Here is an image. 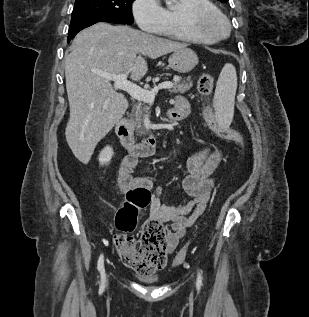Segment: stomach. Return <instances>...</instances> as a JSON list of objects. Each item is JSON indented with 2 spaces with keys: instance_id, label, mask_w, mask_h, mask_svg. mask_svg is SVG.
Masks as SVG:
<instances>
[{
  "instance_id": "1",
  "label": "stomach",
  "mask_w": 309,
  "mask_h": 317,
  "mask_svg": "<svg viewBox=\"0 0 309 317\" xmlns=\"http://www.w3.org/2000/svg\"><path fill=\"white\" fill-rule=\"evenodd\" d=\"M197 54L190 48L174 51L168 59L171 69L178 73H188L198 64Z\"/></svg>"
}]
</instances>
